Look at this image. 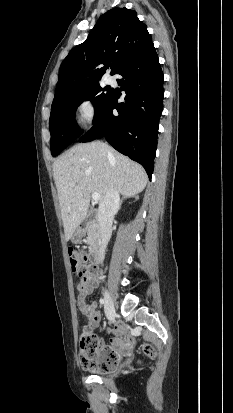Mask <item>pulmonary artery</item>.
<instances>
[{"mask_svg":"<svg viewBox=\"0 0 233 413\" xmlns=\"http://www.w3.org/2000/svg\"><path fill=\"white\" fill-rule=\"evenodd\" d=\"M106 83L112 85V84H114V79L109 76V77H107V79H106Z\"/></svg>","mask_w":233,"mask_h":413,"instance_id":"obj_1","label":"pulmonary artery"}]
</instances>
